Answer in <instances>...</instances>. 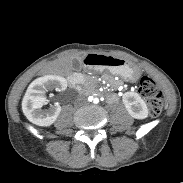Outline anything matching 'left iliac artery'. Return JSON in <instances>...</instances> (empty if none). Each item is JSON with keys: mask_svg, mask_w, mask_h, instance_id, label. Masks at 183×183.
Segmentation results:
<instances>
[{"mask_svg": "<svg viewBox=\"0 0 183 183\" xmlns=\"http://www.w3.org/2000/svg\"><path fill=\"white\" fill-rule=\"evenodd\" d=\"M99 102V99L98 98H95L94 99V103L97 104Z\"/></svg>", "mask_w": 183, "mask_h": 183, "instance_id": "obj_1", "label": "left iliac artery"}]
</instances>
